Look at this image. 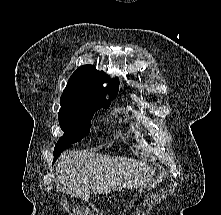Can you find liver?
Returning <instances> with one entry per match:
<instances>
[{"mask_svg":"<svg viewBox=\"0 0 221 215\" xmlns=\"http://www.w3.org/2000/svg\"><path fill=\"white\" fill-rule=\"evenodd\" d=\"M143 161L127 157H111L87 151H71L61 155L56 164L57 182L67 194L83 201L94 194L141 186L148 171Z\"/></svg>","mask_w":221,"mask_h":215,"instance_id":"6515ba94","label":"liver"}]
</instances>
